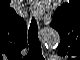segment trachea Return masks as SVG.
I'll return each instance as SVG.
<instances>
[{
    "label": "trachea",
    "instance_id": "trachea-1",
    "mask_svg": "<svg viewBox=\"0 0 80 60\" xmlns=\"http://www.w3.org/2000/svg\"><path fill=\"white\" fill-rule=\"evenodd\" d=\"M28 43H29L28 54L34 57L42 55L41 44L38 38V27L35 19H33L30 24V28L28 31Z\"/></svg>",
    "mask_w": 80,
    "mask_h": 60
}]
</instances>
